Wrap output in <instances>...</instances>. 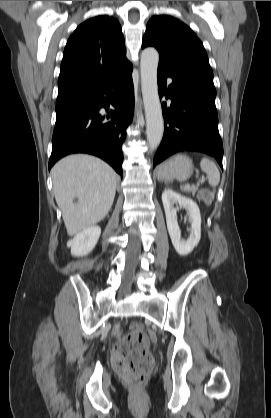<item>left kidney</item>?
<instances>
[{
  "label": "left kidney",
  "mask_w": 271,
  "mask_h": 418,
  "mask_svg": "<svg viewBox=\"0 0 271 418\" xmlns=\"http://www.w3.org/2000/svg\"><path fill=\"white\" fill-rule=\"evenodd\" d=\"M162 202L172 244L179 255L186 256L192 252L201 238V215L199 207L192 199L182 196L171 189L164 190L162 193ZM174 204L185 208L189 214L191 231L187 240L181 239V231L177 223V208H174Z\"/></svg>",
  "instance_id": "1"
}]
</instances>
